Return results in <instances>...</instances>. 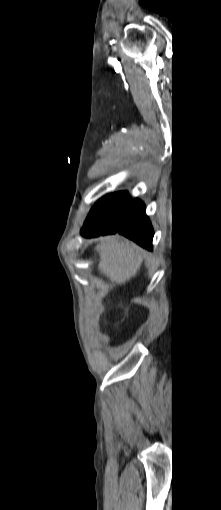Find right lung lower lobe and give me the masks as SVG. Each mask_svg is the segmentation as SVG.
Masks as SVG:
<instances>
[{"instance_id":"1","label":"right lung lower lobe","mask_w":221,"mask_h":510,"mask_svg":"<svg viewBox=\"0 0 221 510\" xmlns=\"http://www.w3.org/2000/svg\"><path fill=\"white\" fill-rule=\"evenodd\" d=\"M116 232L152 250L154 232L145 214V206L140 200L130 198L125 213L118 220L101 216L92 209L81 230V235L96 237Z\"/></svg>"}]
</instances>
